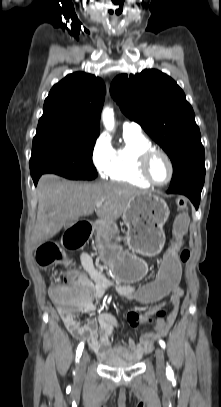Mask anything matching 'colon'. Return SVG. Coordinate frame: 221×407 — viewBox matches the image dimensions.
Wrapping results in <instances>:
<instances>
[{
    "instance_id": "5ec220e1",
    "label": "colon",
    "mask_w": 221,
    "mask_h": 407,
    "mask_svg": "<svg viewBox=\"0 0 221 407\" xmlns=\"http://www.w3.org/2000/svg\"><path fill=\"white\" fill-rule=\"evenodd\" d=\"M176 205L180 213L173 225L174 241L163 258L159 261L157 277H150L148 283H138L135 298L144 305L155 306L159 300H165V292H176V286L181 285L182 262L189 258V251L181 250L182 241L188 227V219L183 211L187 208L185 197H179ZM94 223L89 216H82L68 225L63 236V249H81L86 245V239H92ZM65 254L56 243L48 242L39 247L36 259L39 265L47 267L64 260ZM90 291L89 282L82 276L69 273L64 284H54L50 287V297L59 311L73 314L87 302ZM157 316H163V310H156Z\"/></svg>"
}]
</instances>
